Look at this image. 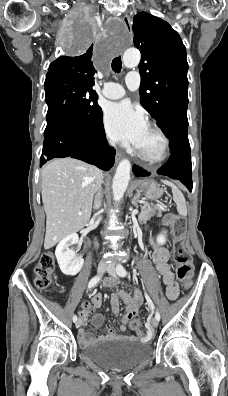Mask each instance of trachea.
<instances>
[{"mask_svg": "<svg viewBox=\"0 0 228 396\" xmlns=\"http://www.w3.org/2000/svg\"><path fill=\"white\" fill-rule=\"evenodd\" d=\"M122 69L121 56L115 57L112 61V70L115 73H119Z\"/></svg>", "mask_w": 228, "mask_h": 396, "instance_id": "1", "label": "trachea"}]
</instances>
